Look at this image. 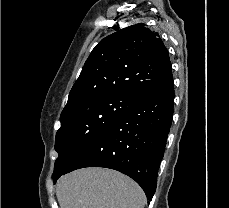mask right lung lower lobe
<instances>
[{
	"instance_id": "right-lung-lower-lobe-1",
	"label": "right lung lower lobe",
	"mask_w": 229,
	"mask_h": 208,
	"mask_svg": "<svg viewBox=\"0 0 229 208\" xmlns=\"http://www.w3.org/2000/svg\"><path fill=\"white\" fill-rule=\"evenodd\" d=\"M173 106L172 80L144 96L94 137L60 176L84 167L111 168L134 179L151 201L172 122ZM60 176L53 178L54 183Z\"/></svg>"
}]
</instances>
